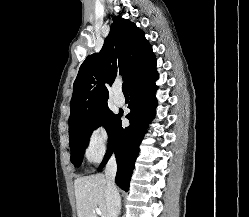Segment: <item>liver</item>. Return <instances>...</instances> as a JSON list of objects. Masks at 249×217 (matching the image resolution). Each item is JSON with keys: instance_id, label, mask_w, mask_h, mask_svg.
<instances>
[{"instance_id": "obj_1", "label": "liver", "mask_w": 249, "mask_h": 217, "mask_svg": "<svg viewBox=\"0 0 249 217\" xmlns=\"http://www.w3.org/2000/svg\"><path fill=\"white\" fill-rule=\"evenodd\" d=\"M74 189L78 217H96V208L101 210L104 217H109L106 178L103 174L77 178Z\"/></svg>"}]
</instances>
